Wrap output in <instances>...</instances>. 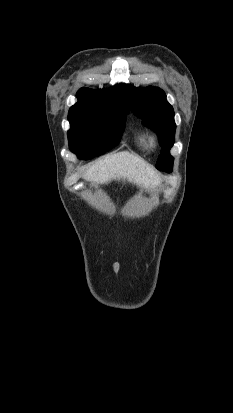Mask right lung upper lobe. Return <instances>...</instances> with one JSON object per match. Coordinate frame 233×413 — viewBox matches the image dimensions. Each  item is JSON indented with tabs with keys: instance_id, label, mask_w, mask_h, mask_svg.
<instances>
[{
	"instance_id": "1",
	"label": "right lung upper lobe",
	"mask_w": 233,
	"mask_h": 413,
	"mask_svg": "<svg viewBox=\"0 0 233 413\" xmlns=\"http://www.w3.org/2000/svg\"><path fill=\"white\" fill-rule=\"evenodd\" d=\"M77 98L78 100H87L102 103H120L126 106L121 84L104 91H95L89 88H81L77 92Z\"/></svg>"
}]
</instances>
